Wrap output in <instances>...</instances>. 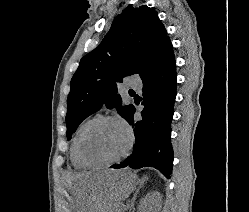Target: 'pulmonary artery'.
<instances>
[{
    "label": "pulmonary artery",
    "instance_id": "obj_1",
    "mask_svg": "<svg viewBox=\"0 0 249 212\" xmlns=\"http://www.w3.org/2000/svg\"><path fill=\"white\" fill-rule=\"evenodd\" d=\"M126 85H127L128 87L134 88V89H139V88H140L139 86L133 85V84H131V83H127Z\"/></svg>",
    "mask_w": 249,
    "mask_h": 212
}]
</instances>
